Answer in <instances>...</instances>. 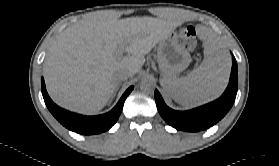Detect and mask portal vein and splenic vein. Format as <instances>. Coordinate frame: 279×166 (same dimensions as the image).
I'll return each instance as SVG.
<instances>
[{
  "label": "portal vein and splenic vein",
  "mask_w": 279,
  "mask_h": 166,
  "mask_svg": "<svg viewBox=\"0 0 279 166\" xmlns=\"http://www.w3.org/2000/svg\"><path fill=\"white\" fill-rule=\"evenodd\" d=\"M124 49H125V44H121L117 49L116 55L118 57H121L123 55Z\"/></svg>",
  "instance_id": "obj_1"
}]
</instances>
